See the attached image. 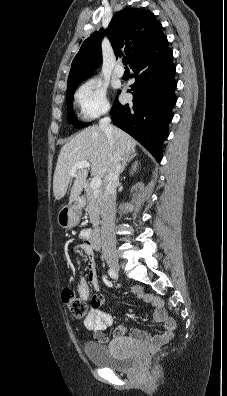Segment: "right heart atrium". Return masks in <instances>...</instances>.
<instances>
[{"label":"right heart atrium","instance_id":"1","mask_svg":"<svg viewBox=\"0 0 227 396\" xmlns=\"http://www.w3.org/2000/svg\"><path fill=\"white\" fill-rule=\"evenodd\" d=\"M75 101L82 117L94 120L110 111L106 88L95 80L83 83L75 94Z\"/></svg>","mask_w":227,"mask_h":396}]
</instances>
